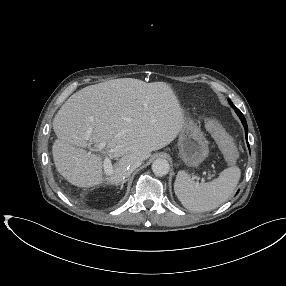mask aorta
I'll return each instance as SVG.
<instances>
[{
	"mask_svg": "<svg viewBox=\"0 0 286 286\" xmlns=\"http://www.w3.org/2000/svg\"><path fill=\"white\" fill-rule=\"evenodd\" d=\"M170 165L167 160L158 158L152 163V171L157 176H164L169 173Z\"/></svg>",
	"mask_w": 286,
	"mask_h": 286,
	"instance_id": "762f6f07",
	"label": "aorta"
}]
</instances>
